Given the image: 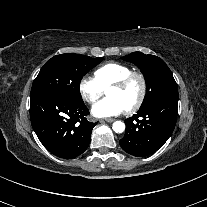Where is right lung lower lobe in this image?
Instances as JSON below:
<instances>
[{
	"mask_svg": "<svg viewBox=\"0 0 207 207\" xmlns=\"http://www.w3.org/2000/svg\"><path fill=\"white\" fill-rule=\"evenodd\" d=\"M88 113L84 102L56 93L31 96L32 127L43 146L60 158H76L89 146L95 123L86 119Z\"/></svg>",
	"mask_w": 207,
	"mask_h": 207,
	"instance_id": "obj_1",
	"label": "right lung lower lobe"
}]
</instances>
